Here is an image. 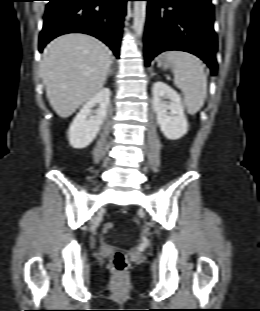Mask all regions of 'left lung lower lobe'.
<instances>
[{
	"label": "left lung lower lobe",
	"instance_id": "1",
	"mask_svg": "<svg viewBox=\"0 0 260 311\" xmlns=\"http://www.w3.org/2000/svg\"><path fill=\"white\" fill-rule=\"evenodd\" d=\"M145 63L159 53L180 50L197 55L216 73L217 37L211 0H146ZM167 7H171L169 10Z\"/></svg>",
	"mask_w": 260,
	"mask_h": 311
}]
</instances>
